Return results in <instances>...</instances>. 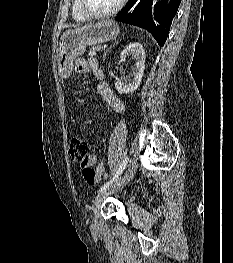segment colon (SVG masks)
Returning <instances> with one entry per match:
<instances>
[{
	"label": "colon",
	"instance_id": "obj_1",
	"mask_svg": "<svg viewBox=\"0 0 233 263\" xmlns=\"http://www.w3.org/2000/svg\"><path fill=\"white\" fill-rule=\"evenodd\" d=\"M90 152L88 142L79 138H72L69 145V153L72 161L81 164L82 172L85 180L89 184H94L97 179L103 180L106 178L105 170L95 171L87 166V158Z\"/></svg>",
	"mask_w": 233,
	"mask_h": 263
}]
</instances>
